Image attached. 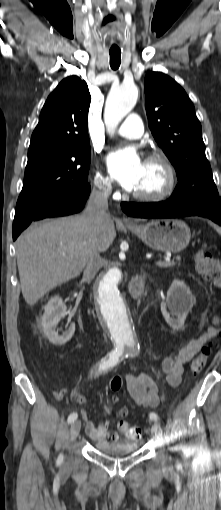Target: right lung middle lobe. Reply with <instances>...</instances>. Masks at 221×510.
Listing matches in <instances>:
<instances>
[{"label":"right lung middle lobe","instance_id":"obj_1","mask_svg":"<svg viewBox=\"0 0 221 510\" xmlns=\"http://www.w3.org/2000/svg\"><path fill=\"white\" fill-rule=\"evenodd\" d=\"M90 145H71L62 150L28 156L23 188L15 214L28 218L49 204L88 185Z\"/></svg>","mask_w":221,"mask_h":510}]
</instances>
